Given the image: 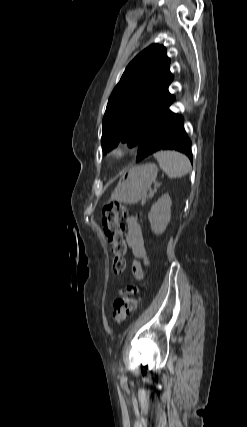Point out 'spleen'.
Returning <instances> with one entry per match:
<instances>
[{
    "instance_id": "obj_1",
    "label": "spleen",
    "mask_w": 247,
    "mask_h": 427,
    "mask_svg": "<svg viewBox=\"0 0 247 427\" xmlns=\"http://www.w3.org/2000/svg\"><path fill=\"white\" fill-rule=\"evenodd\" d=\"M159 166L171 178H180L188 174L191 164L188 158L176 151H159L154 154Z\"/></svg>"
}]
</instances>
